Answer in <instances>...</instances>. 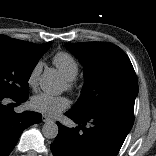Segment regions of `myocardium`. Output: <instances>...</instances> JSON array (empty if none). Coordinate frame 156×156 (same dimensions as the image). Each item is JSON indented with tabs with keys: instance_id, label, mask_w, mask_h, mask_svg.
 I'll return each mask as SVG.
<instances>
[{
	"instance_id": "myocardium-1",
	"label": "myocardium",
	"mask_w": 156,
	"mask_h": 156,
	"mask_svg": "<svg viewBox=\"0 0 156 156\" xmlns=\"http://www.w3.org/2000/svg\"><path fill=\"white\" fill-rule=\"evenodd\" d=\"M74 87H75V82H74V80H68V79H66V88H67L68 90H73Z\"/></svg>"
}]
</instances>
